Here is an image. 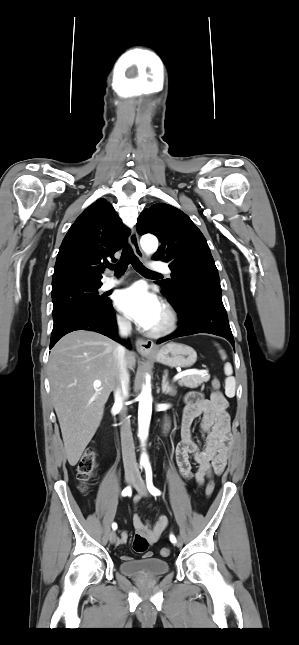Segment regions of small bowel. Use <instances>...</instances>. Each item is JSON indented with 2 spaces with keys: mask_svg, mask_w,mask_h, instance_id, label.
<instances>
[{
  "mask_svg": "<svg viewBox=\"0 0 299 645\" xmlns=\"http://www.w3.org/2000/svg\"><path fill=\"white\" fill-rule=\"evenodd\" d=\"M201 418L200 433L203 438L201 446L193 436V423ZM232 436L230 434V416L228 401L219 392H214L210 398H204L199 392H190L185 397V407L181 420V441L175 451L177 467L181 475L188 481L203 485L213 474H220L226 467L231 450ZM192 464L196 471H192ZM134 505L138 506L140 496L134 497ZM133 525L136 535H141L150 545L156 543L169 525L168 517L160 515L153 524L144 521L136 512L133 515ZM128 540V533L122 531L118 545ZM146 552L144 558L151 557ZM124 561L131 558L121 555Z\"/></svg>",
  "mask_w": 299,
  "mask_h": 645,
  "instance_id": "small-bowel-1",
  "label": "small bowel"
}]
</instances>
